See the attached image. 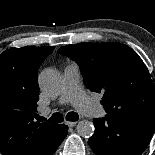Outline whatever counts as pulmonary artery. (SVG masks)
I'll return each mask as SVG.
<instances>
[{
  "label": "pulmonary artery",
  "instance_id": "pulmonary-artery-1",
  "mask_svg": "<svg viewBox=\"0 0 155 155\" xmlns=\"http://www.w3.org/2000/svg\"><path fill=\"white\" fill-rule=\"evenodd\" d=\"M64 85L59 99L60 104L71 103L80 113L89 118L104 115L100 105L91 100L83 90L80 68L76 63H69L63 72ZM48 109H43V113Z\"/></svg>",
  "mask_w": 155,
  "mask_h": 155
}]
</instances>
